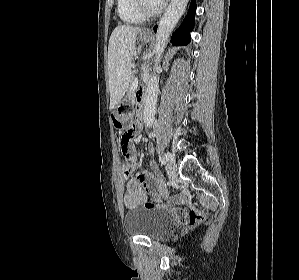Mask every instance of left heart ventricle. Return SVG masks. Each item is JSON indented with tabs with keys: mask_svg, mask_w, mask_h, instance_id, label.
<instances>
[{
	"mask_svg": "<svg viewBox=\"0 0 299 280\" xmlns=\"http://www.w3.org/2000/svg\"><path fill=\"white\" fill-rule=\"evenodd\" d=\"M145 4L150 9H155L160 5L156 0H145Z\"/></svg>",
	"mask_w": 299,
	"mask_h": 280,
	"instance_id": "b2bd125f",
	"label": "left heart ventricle"
}]
</instances>
